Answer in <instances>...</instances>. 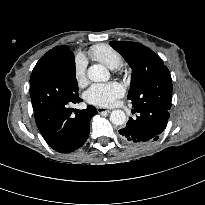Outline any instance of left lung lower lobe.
<instances>
[{
	"label": "left lung lower lobe",
	"instance_id": "obj_1",
	"mask_svg": "<svg viewBox=\"0 0 205 205\" xmlns=\"http://www.w3.org/2000/svg\"><path fill=\"white\" fill-rule=\"evenodd\" d=\"M133 111L139 115L136 119L129 118L126 126L119 130L121 139L137 146L156 141L167 126L169 110L147 107Z\"/></svg>",
	"mask_w": 205,
	"mask_h": 205
}]
</instances>
